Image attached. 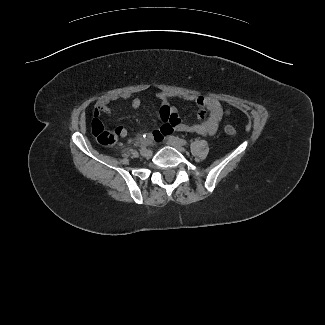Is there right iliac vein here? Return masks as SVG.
I'll use <instances>...</instances> for the list:
<instances>
[{
    "label": "right iliac vein",
    "instance_id": "obj_1",
    "mask_svg": "<svg viewBox=\"0 0 325 325\" xmlns=\"http://www.w3.org/2000/svg\"><path fill=\"white\" fill-rule=\"evenodd\" d=\"M144 157L150 158L152 156V151L146 149L144 152L141 153Z\"/></svg>",
    "mask_w": 325,
    "mask_h": 325
}]
</instances>
